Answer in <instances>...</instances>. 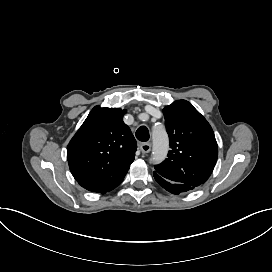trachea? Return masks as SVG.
I'll use <instances>...</instances> for the list:
<instances>
[{
  "label": "trachea",
  "instance_id": "trachea-1",
  "mask_svg": "<svg viewBox=\"0 0 272 272\" xmlns=\"http://www.w3.org/2000/svg\"><path fill=\"white\" fill-rule=\"evenodd\" d=\"M135 135H136L137 139L140 141H148L149 140V131L146 126H140L137 129Z\"/></svg>",
  "mask_w": 272,
  "mask_h": 272
}]
</instances>
